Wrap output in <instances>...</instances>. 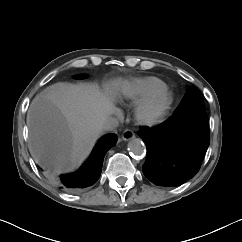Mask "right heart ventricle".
<instances>
[{"label":"right heart ventricle","instance_id":"obj_1","mask_svg":"<svg viewBox=\"0 0 242 242\" xmlns=\"http://www.w3.org/2000/svg\"><path fill=\"white\" fill-rule=\"evenodd\" d=\"M166 88V84L154 76L134 78L125 82L121 88V98L136 104L145 100L152 94Z\"/></svg>","mask_w":242,"mask_h":242}]
</instances>
